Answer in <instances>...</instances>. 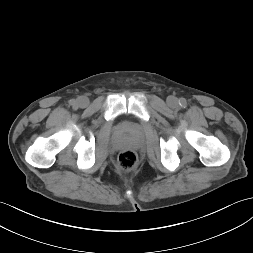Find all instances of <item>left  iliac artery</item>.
<instances>
[{
    "instance_id": "44dca946",
    "label": "left iliac artery",
    "mask_w": 253,
    "mask_h": 253,
    "mask_svg": "<svg viewBox=\"0 0 253 253\" xmlns=\"http://www.w3.org/2000/svg\"><path fill=\"white\" fill-rule=\"evenodd\" d=\"M179 104H180V106L185 107L186 104H187V102H186V100H185L184 98H181V99L179 100Z\"/></svg>"
}]
</instances>
